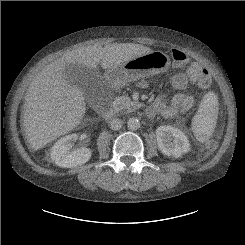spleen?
<instances>
[{"label":"spleen","mask_w":245,"mask_h":245,"mask_svg":"<svg viewBox=\"0 0 245 245\" xmlns=\"http://www.w3.org/2000/svg\"><path fill=\"white\" fill-rule=\"evenodd\" d=\"M219 111L218 97L214 92L204 95L197 114L192 121V130L196 139L206 142L215 130Z\"/></svg>","instance_id":"spleen-1"}]
</instances>
